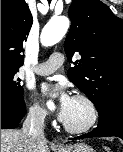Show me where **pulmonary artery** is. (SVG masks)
I'll list each match as a JSON object with an SVG mask.
<instances>
[{
    "label": "pulmonary artery",
    "mask_w": 123,
    "mask_h": 152,
    "mask_svg": "<svg viewBox=\"0 0 123 152\" xmlns=\"http://www.w3.org/2000/svg\"><path fill=\"white\" fill-rule=\"evenodd\" d=\"M64 63V55L60 52L52 53L46 62L39 63L33 69L38 75H49Z\"/></svg>",
    "instance_id": "pulmonary-artery-1"
}]
</instances>
